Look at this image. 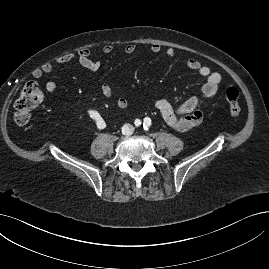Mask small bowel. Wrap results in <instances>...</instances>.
I'll return each instance as SVG.
<instances>
[{"mask_svg":"<svg viewBox=\"0 0 269 269\" xmlns=\"http://www.w3.org/2000/svg\"><path fill=\"white\" fill-rule=\"evenodd\" d=\"M113 49V45L107 44L102 47L101 51L103 54L108 55L113 52ZM135 50L136 46L133 44L127 45L124 49L127 55L133 54ZM150 51L154 54H158L162 51V46L152 44ZM165 55L168 58H174L175 50L168 48L165 51ZM73 61H78L82 67L92 72L98 71L101 67V62L97 59H93L91 50L87 48L80 49L76 53L63 54L56 59L55 63L64 65ZM186 66L204 80L200 89V95L192 96L176 107L166 100H158L155 104L165 122L171 128L179 132H188L201 125L205 113L204 110L200 108V97H214L218 93L222 82L220 73L211 70L208 66L203 65L195 58H189L186 61ZM53 69V63H45L40 68L34 70L32 76L35 80H39L43 75L51 73ZM45 90L47 93L52 94L57 90V84L53 81H49L45 85ZM100 90L105 97L115 99L118 108L121 110L128 108L129 103L127 99L124 97H116L113 88L108 83H102Z\"/></svg>","mask_w":269,"mask_h":269,"instance_id":"small-bowel-1","label":"small bowel"}]
</instances>
